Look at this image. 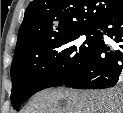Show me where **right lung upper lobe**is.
<instances>
[{
  "label": "right lung upper lobe",
  "instance_id": "1",
  "mask_svg": "<svg viewBox=\"0 0 123 113\" xmlns=\"http://www.w3.org/2000/svg\"><path fill=\"white\" fill-rule=\"evenodd\" d=\"M123 0H33L25 11L17 46L69 30L96 27Z\"/></svg>",
  "mask_w": 123,
  "mask_h": 113
}]
</instances>
